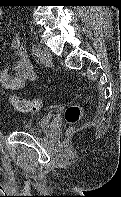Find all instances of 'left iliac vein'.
I'll return each instance as SVG.
<instances>
[{
    "instance_id": "1",
    "label": "left iliac vein",
    "mask_w": 121,
    "mask_h": 197,
    "mask_svg": "<svg viewBox=\"0 0 121 197\" xmlns=\"http://www.w3.org/2000/svg\"><path fill=\"white\" fill-rule=\"evenodd\" d=\"M38 55L43 64H49L51 62V52L47 48H40Z\"/></svg>"
}]
</instances>
